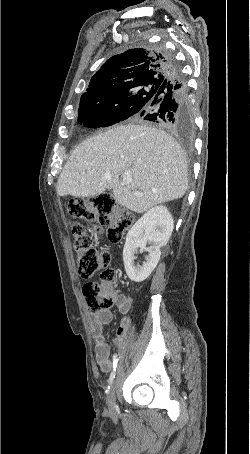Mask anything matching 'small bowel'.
<instances>
[{
  "mask_svg": "<svg viewBox=\"0 0 250 454\" xmlns=\"http://www.w3.org/2000/svg\"><path fill=\"white\" fill-rule=\"evenodd\" d=\"M118 311L127 314L132 307V298L126 293H119L115 300ZM112 320L110 311L94 313L92 315L91 327L95 338V358L100 370L108 373L113 366L110 357V346L106 342V327ZM131 326V319L124 317L113 338L114 344L121 346Z\"/></svg>",
  "mask_w": 250,
  "mask_h": 454,
  "instance_id": "small-bowel-1",
  "label": "small bowel"
}]
</instances>
